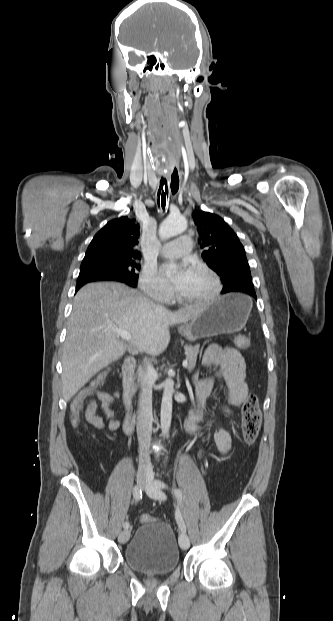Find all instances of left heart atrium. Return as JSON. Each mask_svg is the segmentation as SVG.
I'll list each match as a JSON object with an SVG mask.
<instances>
[{
    "instance_id": "left-heart-atrium-1",
    "label": "left heart atrium",
    "mask_w": 333,
    "mask_h": 621,
    "mask_svg": "<svg viewBox=\"0 0 333 621\" xmlns=\"http://www.w3.org/2000/svg\"><path fill=\"white\" fill-rule=\"evenodd\" d=\"M192 274V270L186 264L167 263L161 268L162 277L172 288L180 291Z\"/></svg>"
}]
</instances>
